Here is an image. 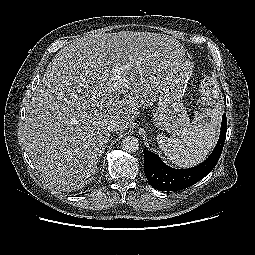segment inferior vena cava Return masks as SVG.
<instances>
[{
	"instance_id": "602c4592",
	"label": "inferior vena cava",
	"mask_w": 255,
	"mask_h": 255,
	"mask_svg": "<svg viewBox=\"0 0 255 255\" xmlns=\"http://www.w3.org/2000/svg\"><path fill=\"white\" fill-rule=\"evenodd\" d=\"M118 127H119V122L115 119L110 120L107 125V129L109 132L117 131Z\"/></svg>"
}]
</instances>
